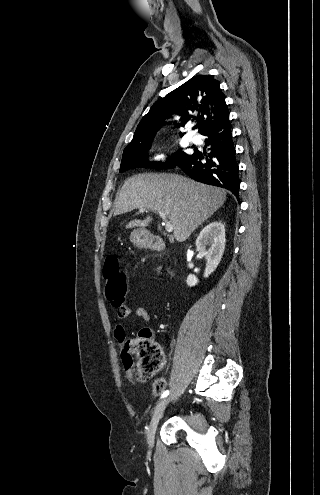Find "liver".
Returning <instances> with one entry per match:
<instances>
[{"label": "liver", "mask_w": 320, "mask_h": 495, "mask_svg": "<svg viewBox=\"0 0 320 495\" xmlns=\"http://www.w3.org/2000/svg\"><path fill=\"white\" fill-rule=\"evenodd\" d=\"M226 201L223 189L175 174H138L128 178L118 195L115 215L146 208L163 212L173 225L174 238L184 242ZM152 217L130 221L126 228L144 229Z\"/></svg>", "instance_id": "6515ba94"}]
</instances>
